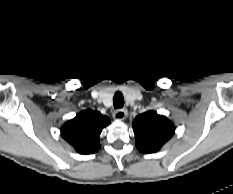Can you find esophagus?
<instances>
[{"instance_id":"34e87169","label":"esophagus","mask_w":233,"mask_h":194,"mask_svg":"<svg viewBox=\"0 0 233 194\" xmlns=\"http://www.w3.org/2000/svg\"><path fill=\"white\" fill-rule=\"evenodd\" d=\"M127 114H128V112L126 109H118L113 113V117L116 120H124V119H126Z\"/></svg>"}]
</instances>
